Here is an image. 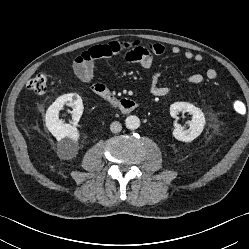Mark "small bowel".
Instances as JSON below:
<instances>
[{
	"label": "small bowel",
	"mask_w": 249,
	"mask_h": 249,
	"mask_svg": "<svg viewBox=\"0 0 249 249\" xmlns=\"http://www.w3.org/2000/svg\"><path fill=\"white\" fill-rule=\"evenodd\" d=\"M165 50V46L161 43H144L139 40H112L91 47L78 55L74 61L73 70L80 81L89 83L94 78V64L96 60L120 55L127 64H139L145 71L149 72L150 93L156 97H163L170 92V87L160 83L164 72L153 69V59L155 56L164 54ZM180 52L181 49L178 46L171 48V53L174 55H178ZM184 58L195 62L203 60L201 54L192 51H185ZM216 77V70L208 69L204 75L200 73L189 75L186 81L190 84H201L206 79L213 80ZM92 88L108 90L102 83H94Z\"/></svg>",
	"instance_id": "c3829d8e"
}]
</instances>
